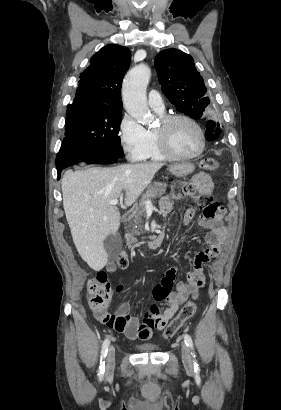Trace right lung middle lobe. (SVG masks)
I'll return each mask as SVG.
<instances>
[{
    "instance_id": "dd1d6c3e",
    "label": "right lung middle lobe",
    "mask_w": 281,
    "mask_h": 410,
    "mask_svg": "<svg viewBox=\"0 0 281 410\" xmlns=\"http://www.w3.org/2000/svg\"><path fill=\"white\" fill-rule=\"evenodd\" d=\"M122 110L88 105L68 106L65 137L56 166L75 157L123 155L118 136Z\"/></svg>"
}]
</instances>
